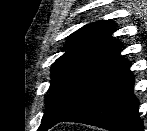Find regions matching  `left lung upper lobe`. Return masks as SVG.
Wrapping results in <instances>:
<instances>
[{"mask_svg": "<svg viewBox=\"0 0 147 131\" xmlns=\"http://www.w3.org/2000/svg\"><path fill=\"white\" fill-rule=\"evenodd\" d=\"M115 25L109 20L87 24L68 38L66 52L51 67L50 93L46 97L39 130L46 131L77 111L89 96L127 59L120 42L112 40Z\"/></svg>", "mask_w": 147, "mask_h": 131, "instance_id": "5c2ea615", "label": "left lung upper lobe"}]
</instances>
